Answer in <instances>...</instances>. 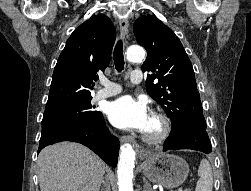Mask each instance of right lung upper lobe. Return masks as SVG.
<instances>
[{"label": "right lung upper lobe", "instance_id": "obj_1", "mask_svg": "<svg viewBox=\"0 0 251 191\" xmlns=\"http://www.w3.org/2000/svg\"><path fill=\"white\" fill-rule=\"evenodd\" d=\"M115 28L98 14L71 34L55 66L46 108L92 98L93 81L111 60Z\"/></svg>", "mask_w": 251, "mask_h": 191}]
</instances>
